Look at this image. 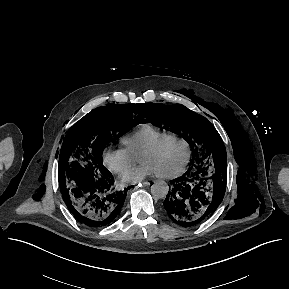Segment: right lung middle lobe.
<instances>
[{"mask_svg": "<svg viewBox=\"0 0 289 289\" xmlns=\"http://www.w3.org/2000/svg\"><path fill=\"white\" fill-rule=\"evenodd\" d=\"M140 105L99 107L72 126L59 156L58 180L62 194L79 185L90 184L109 172L102 163L103 150L115 133L118 138L138 124L133 116Z\"/></svg>", "mask_w": 289, "mask_h": 289, "instance_id": "right-lung-middle-lobe-1", "label": "right lung middle lobe"}]
</instances>
